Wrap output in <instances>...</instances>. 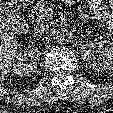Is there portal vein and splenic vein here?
<instances>
[{
    "mask_svg": "<svg viewBox=\"0 0 113 113\" xmlns=\"http://www.w3.org/2000/svg\"><path fill=\"white\" fill-rule=\"evenodd\" d=\"M50 11H52V9H50V8L47 9V10H45L46 13H47V12H50Z\"/></svg>",
    "mask_w": 113,
    "mask_h": 113,
    "instance_id": "portal-vein-and-splenic-vein-1",
    "label": "portal vein and splenic vein"
}]
</instances>
